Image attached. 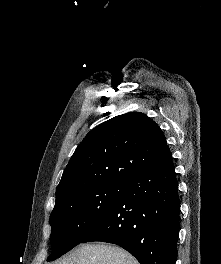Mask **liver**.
I'll return each instance as SVG.
<instances>
[{"mask_svg": "<svg viewBox=\"0 0 221 264\" xmlns=\"http://www.w3.org/2000/svg\"><path fill=\"white\" fill-rule=\"evenodd\" d=\"M54 264H139L127 251L105 244H85Z\"/></svg>", "mask_w": 221, "mask_h": 264, "instance_id": "1", "label": "liver"}]
</instances>
